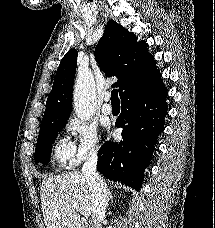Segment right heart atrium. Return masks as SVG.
Listing matches in <instances>:
<instances>
[{"label":"right heart atrium","mask_w":215,"mask_h":228,"mask_svg":"<svg viewBox=\"0 0 215 228\" xmlns=\"http://www.w3.org/2000/svg\"><path fill=\"white\" fill-rule=\"evenodd\" d=\"M66 130L73 137L71 161L74 164H81L99 155L101 135L94 124L73 117L67 122Z\"/></svg>","instance_id":"1"}]
</instances>
